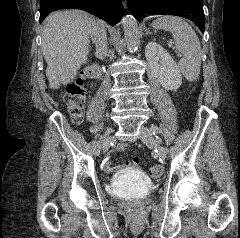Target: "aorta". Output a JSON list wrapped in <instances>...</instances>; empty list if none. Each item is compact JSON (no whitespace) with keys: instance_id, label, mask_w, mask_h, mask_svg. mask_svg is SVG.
<instances>
[{"instance_id":"aorta-1","label":"aorta","mask_w":240,"mask_h":238,"mask_svg":"<svg viewBox=\"0 0 240 238\" xmlns=\"http://www.w3.org/2000/svg\"><path fill=\"white\" fill-rule=\"evenodd\" d=\"M122 26L128 50H136L140 43V31L136 19L132 15H126L122 19Z\"/></svg>"}]
</instances>
